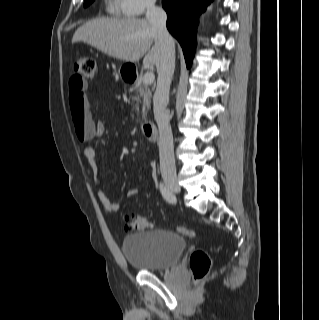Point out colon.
<instances>
[{
	"instance_id": "1",
	"label": "colon",
	"mask_w": 319,
	"mask_h": 320,
	"mask_svg": "<svg viewBox=\"0 0 319 320\" xmlns=\"http://www.w3.org/2000/svg\"><path fill=\"white\" fill-rule=\"evenodd\" d=\"M73 70L75 76L80 80H90L95 75V60L88 56L77 58L73 62ZM72 119L75 127L76 137L80 142L84 143L95 137L92 125L83 114L74 113ZM124 223L125 228L128 231H140L151 226L148 216L138 214L127 215L124 219ZM176 231L186 237L192 238L196 236V232L190 228L177 227ZM189 267L194 280L199 282L208 275L211 268V259L204 250H195L190 255Z\"/></svg>"
}]
</instances>
